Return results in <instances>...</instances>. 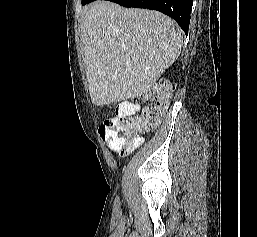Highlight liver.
<instances>
[{
    "mask_svg": "<svg viewBox=\"0 0 257 237\" xmlns=\"http://www.w3.org/2000/svg\"><path fill=\"white\" fill-rule=\"evenodd\" d=\"M81 34L89 91L96 105L150 91L183 46L181 29L166 15L107 1L89 7Z\"/></svg>",
    "mask_w": 257,
    "mask_h": 237,
    "instance_id": "6515ba94",
    "label": "liver"
}]
</instances>
